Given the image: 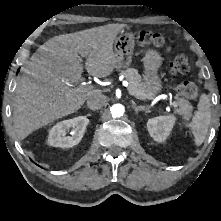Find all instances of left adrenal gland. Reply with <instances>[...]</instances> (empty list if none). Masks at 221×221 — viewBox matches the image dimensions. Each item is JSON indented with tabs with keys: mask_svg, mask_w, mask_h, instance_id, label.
<instances>
[{
	"mask_svg": "<svg viewBox=\"0 0 221 221\" xmlns=\"http://www.w3.org/2000/svg\"><path fill=\"white\" fill-rule=\"evenodd\" d=\"M132 107L135 110L136 113H138L139 111H144L146 110L145 106H138L136 105V103L134 101H132Z\"/></svg>",
	"mask_w": 221,
	"mask_h": 221,
	"instance_id": "obj_1",
	"label": "left adrenal gland"
}]
</instances>
